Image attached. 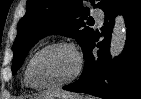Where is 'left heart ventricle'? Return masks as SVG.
Instances as JSON below:
<instances>
[{
  "instance_id": "1",
  "label": "left heart ventricle",
  "mask_w": 141,
  "mask_h": 99,
  "mask_svg": "<svg viewBox=\"0 0 141 99\" xmlns=\"http://www.w3.org/2000/svg\"><path fill=\"white\" fill-rule=\"evenodd\" d=\"M76 69V58L73 52L65 47L49 49L34 61L31 78L39 85L60 82L73 74Z\"/></svg>"
}]
</instances>
